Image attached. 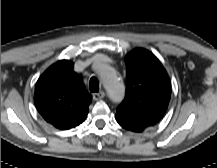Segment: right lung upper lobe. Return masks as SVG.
Here are the masks:
<instances>
[{"label":"right lung upper lobe","mask_w":217,"mask_h":168,"mask_svg":"<svg viewBox=\"0 0 217 168\" xmlns=\"http://www.w3.org/2000/svg\"><path fill=\"white\" fill-rule=\"evenodd\" d=\"M73 62L61 60L38 79L34 101L42 117L54 127L67 130L81 124L89 111L91 94L73 71Z\"/></svg>","instance_id":"obj_1"}]
</instances>
